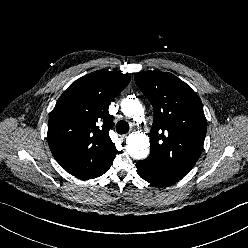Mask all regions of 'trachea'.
<instances>
[{"label":"trachea","instance_id":"3493384b","mask_svg":"<svg viewBox=\"0 0 248 248\" xmlns=\"http://www.w3.org/2000/svg\"><path fill=\"white\" fill-rule=\"evenodd\" d=\"M116 131L118 134H125L129 131V124L124 121L121 120L116 124Z\"/></svg>","mask_w":248,"mask_h":248}]
</instances>
